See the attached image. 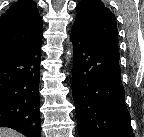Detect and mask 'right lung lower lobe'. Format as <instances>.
Instances as JSON below:
<instances>
[{
    "mask_svg": "<svg viewBox=\"0 0 144 137\" xmlns=\"http://www.w3.org/2000/svg\"><path fill=\"white\" fill-rule=\"evenodd\" d=\"M42 38L0 60V127L40 137L39 77Z\"/></svg>",
    "mask_w": 144,
    "mask_h": 137,
    "instance_id": "1",
    "label": "right lung lower lobe"
}]
</instances>
